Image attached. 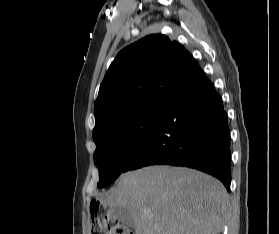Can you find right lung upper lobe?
I'll use <instances>...</instances> for the list:
<instances>
[{
    "label": "right lung upper lobe",
    "instance_id": "cb5924a9",
    "mask_svg": "<svg viewBox=\"0 0 279 234\" xmlns=\"http://www.w3.org/2000/svg\"><path fill=\"white\" fill-rule=\"evenodd\" d=\"M202 69L177 41L148 35L121 50L111 63L95 102L93 137L108 121L145 107H166Z\"/></svg>",
    "mask_w": 279,
    "mask_h": 234
}]
</instances>
